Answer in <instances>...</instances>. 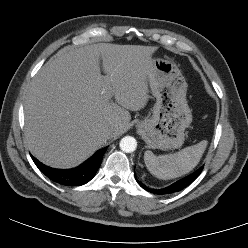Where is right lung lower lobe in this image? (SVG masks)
<instances>
[{
	"mask_svg": "<svg viewBox=\"0 0 248 248\" xmlns=\"http://www.w3.org/2000/svg\"><path fill=\"white\" fill-rule=\"evenodd\" d=\"M106 149L107 147L98 150L80 166L67 170L50 168L33 156L31 157L39 170L52 181L66 186H80L86 184L95 176Z\"/></svg>",
	"mask_w": 248,
	"mask_h": 248,
	"instance_id": "98d812e1",
	"label": "right lung lower lobe"
}]
</instances>
